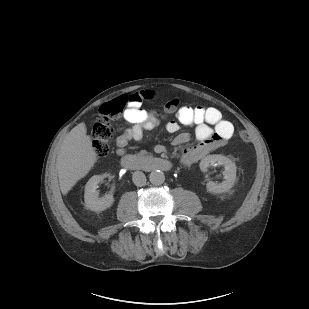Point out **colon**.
I'll return each mask as SVG.
<instances>
[{
    "mask_svg": "<svg viewBox=\"0 0 309 309\" xmlns=\"http://www.w3.org/2000/svg\"><path fill=\"white\" fill-rule=\"evenodd\" d=\"M148 99V98H145ZM126 96H121L112 101L104 103L99 109V117L92 129L93 150L96 156L106 157L110 152V143L114 136L112 121L119 118L128 103ZM177 102L170 101L166 108L173 110ZM240 139L244 142L250 141V135L245 130H240L238 133Z\"/></svg>",
    "mask_w": 309,
    "mask_h": 309,
    "instance_id": "5ec220e1",
    "label": "colon"
}]
</instances>
